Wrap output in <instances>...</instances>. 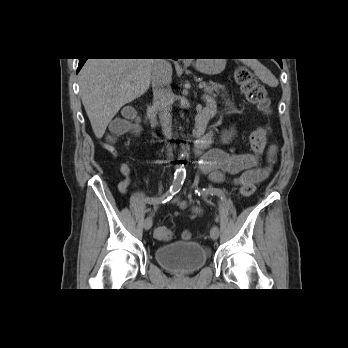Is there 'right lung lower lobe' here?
Listing matches in <instances>:
<instances>
[{
    "instance_id": "1",
    "label": "right lung lower lobe",
    "mask_w": 348,
    "mask_h": 348,
    "mask_svg": "<svg viewBox=\"0 0 348 348\" xmlns=\"http://www.w3.org/2000/svg\"><path fill=\"white\" fill-rule=\"evenodd\" d=\"M87 59H79V65H78V69H77V73L79 72V70L81 69V67L84 65L85 61Z\"/></svg>"
}]
</instances>
